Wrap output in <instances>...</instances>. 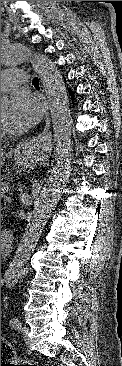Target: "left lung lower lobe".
<instances>
[{
	"label": "left lung lower lobe",
	"instance_id": "left-lung-lower-lobe-1",
	"mask_svg": "<svg viewBox=\"0 0 122 366\" xmlns=\"http://www.w3.org/2000/svg\"><path fill=\"white\" fill-rule=\"evenodd\" d=\"M70 93H71V96H72V98H73V92L70 90Z\"/></svg>",
	"mask_w": 122,
	"mask_h": 366
}]
</instances>
